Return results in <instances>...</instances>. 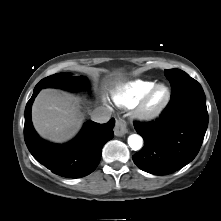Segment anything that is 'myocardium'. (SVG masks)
<instances>
[{
	"label": "myocardium",
	"mask_w": 221,
	"mask_h": 221,
	"mask_svg": "<svg viewBox=\"0 0 221 221\" xmlns=\"http://www.w3.org/2000/svg\"><path fill=\"white\" fill-rule=\"evenodd\" d=\"M159 88L165 89L166 96L160 104L156 106H151L152 97ZM171 96H172L171 89L168 85L164 83L155 84L137 104L135 111L137 118L143 121L155 120L165 111V109L167 108V106L171 101Z\"/></svg>",
	"instance_id": "myocardium-1"
}]
</instances>
